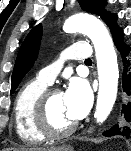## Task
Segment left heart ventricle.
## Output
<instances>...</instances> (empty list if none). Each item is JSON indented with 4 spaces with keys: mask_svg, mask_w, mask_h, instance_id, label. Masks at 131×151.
I'll use <instances>...</instances> for the list:
<instances>
[{
    "mask_svg": "<svg viewBox=\"0 0 131 151\" xmlns=\"http://www.w3.org/2000/svg\"><path fill=\"white\" fill-rule=\"evenodd\" d=\"M48 115L51 126L56 130L69 127L75 121L68 113L62 93L54 95L48 105Z\"/></svg>",
    "mask_w": 131,
    "mask_h": 151,
    "instance_id": "b2bd125f",
    "label": "left heart ventricle"
}]
</instances>
